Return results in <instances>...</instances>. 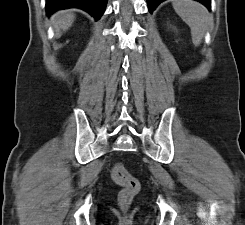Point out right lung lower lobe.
Returning <instances> with one entry per match:
<instances>
[{"label":"right lung lower lobe","mask_w":245,"mask_h":225,"mask_svg":"<svg viewBox=\"0 0 245 225\" xmlns=\"http://www.w3.org/2000/svg\"><path fill=\"white\" fill-rule=\"evenodd\" d=\"M107 0H46L48 15L60 9L80 8L89 12L96 20L100 19L106 8Z\"/></svg>","instance_id":"98d812e1"}]
</instances>
